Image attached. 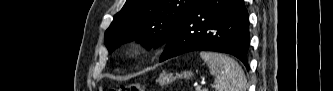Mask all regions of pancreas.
<instances>
[{"instance_id": "cf45deb5", "label": "pancreas", "mask_w": 333, "mask_h": 91, "mask_svg": "<svg viewBox=\"0 0 333 91\" xmlns=\"http://www.w3.org/2000/svg\"><path fill=\"white\" fill-rule=\"evenodd\" d=\"M196 91H205V90H201V89H199V90H196Z\"/></svg>"}]
</instances>
